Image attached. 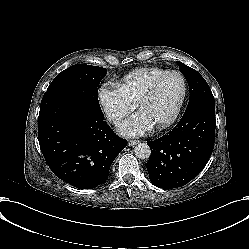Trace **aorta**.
Returning <instances> with one entry per match:
<instances>
[{"mask_svg":"<svg viewBox=\"0 0 249 249\" xmlns=\"http://www.w3.org/2000/svg\"><path fill=\"white\" fill-rule=\"evenodd\" d=\"M135 156L139 159H147L150 156V148L146 143H138L134 148Z\"/></svg>","mask_w":249,"mask_h":249,"instance_id":"1","label":"aorta"}]
</instances>
